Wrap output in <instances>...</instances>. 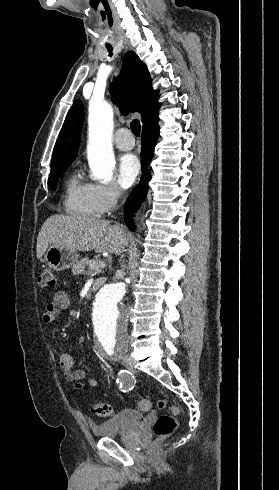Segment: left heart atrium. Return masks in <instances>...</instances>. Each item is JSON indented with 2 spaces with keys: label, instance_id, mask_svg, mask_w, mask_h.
Instances as JSON below:
<instances>
[{
  "label": "left heart atrium",
  "instance_id": "left-heart-atrium-1",
  "mask_svg": "<svg viewBox=\"0 0 279 490\" xmlns=\"http://www.w3.org/2000/svg\"><path fill=\"white\" fill-rule=\"evenodd\" d=\"M141 170V164L137 156L125 154L119 160L118 179L122 186L129 187L137 179Z\"/></svg>",
  "mask_w": 279,
  "mask_h": 490
}]
</instances>
